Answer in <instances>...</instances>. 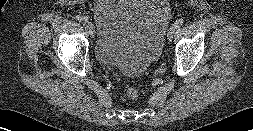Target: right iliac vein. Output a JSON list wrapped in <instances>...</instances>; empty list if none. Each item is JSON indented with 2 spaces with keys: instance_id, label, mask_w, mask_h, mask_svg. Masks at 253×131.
Segmentation results:
<instances>
[{
  "instance_id": "right-iliac-vein-1",
  "label": "right iliac vein",
  "mask_w": 253,
  "mask_h": 131,
  "mask_svg": "<svg viewBox=\"0 0 253 131\" xmlns=\"http://www.w3.org/2000/svg\"><path fill=\"white\" fill-rule=\"evenodd\" d=\"M86 27H87V29H88L90 35L93 37V36H94V33H95V27H94L93 23L88 22V23L86 24Z\"/></svg>"
}]
</instances>
